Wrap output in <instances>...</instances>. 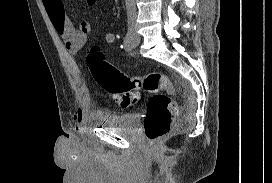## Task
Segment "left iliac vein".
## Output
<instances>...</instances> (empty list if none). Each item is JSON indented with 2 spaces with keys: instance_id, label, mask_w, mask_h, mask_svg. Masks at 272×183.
I'll use <instances>...</instances> for the list:
<instances>
[{
  "instance_id": "left-iliac-vein-1",
  "label": "left iliac vein",
  "mask_w": 272,
  "mask_h": 183,
  "mask_svg": "<svg viewBox=\"0 0 272 183\" xmlns=\"http://www.w3.org/2000/svg\"><path fill=\"white\" fill-rule=\"evenodd\" d=\"M139 42H140L139 36L136 33H134L132 38L133 47H136L139 44Z\"/></svg>"
}]
</instances>
